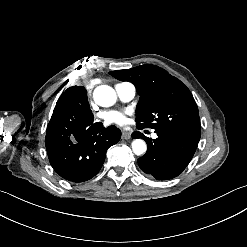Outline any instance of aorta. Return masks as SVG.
Returning a JSON list of instances; mask_svg holds the SVG:
<instances>
[{
  "label": "aorta",
  "mask_w": 247,
  "mask_h": 247,
  "mask_svg": "<svg viewBox=\"0 0 247 247\" xmlns=\"http://www.w3.org/2000/svg\"><path fill=\"white\" fill-rule=\"evenodd\" d=\"M93 98L99 106L110 107L115 104L117 96L112 87L100 85L95 88ZM132 150L136 155H141L147 150L146 143L142 139H135L132 142Z\"/></svg>",
  "instance_id": "762f6f07"
}]
</instances>
